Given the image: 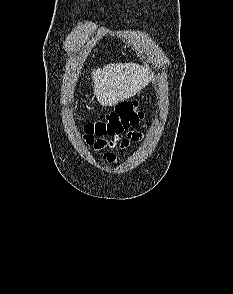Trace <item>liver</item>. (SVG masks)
<instances>
[{
  "label": "liver",
  "mask_w": 233,
  "mask_h": 294,
  "mask_svg": "<svg viewBox=\"0 0 233 294\" xmlns=\"http://www.w3.org/2000/svg\"><path fill=\"white\" fill-rule=\"evenodd\" d=\"M94 96L100 105L115 106L135 96L151 81L148 69L135 63H113L92 73Z\"/></svg>",
  "instance_id": "1"
}]
</instances>
